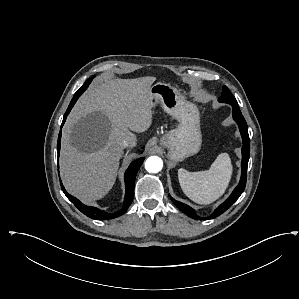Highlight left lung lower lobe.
I'll return each mask as SVG.
<instances>
[{"instance_id":"left-lung-lower-lobe-1","label":"left lung lower lobe","mask_w":299,"mask_h":299,"mask_svg":"<svg viewBox=\"0 0 299 299\" xmlns=\"http://www.w3.org/2000/svg\"><path fill=\"white\" fill-rule=\"evenodd\" d=\"M231 106L233 107V118L239 126L240 133H241L242 140H243L241 179H240L238 186L234 189V191L232 192L230 197L224 203H222L208 217L200 218L191 207L171 198V200L174 202V204L182 212H184L186 215H188L189 217L196 219V220H200V219L209 220V219H213V218L221 215L222 213H224L240 197V195L243 193L245 186H246L247 166H248V161H249V156H250V139H249V135H248V127H247V123L239 109L238 103H232Z\"/></svg>"}]
</instances>
